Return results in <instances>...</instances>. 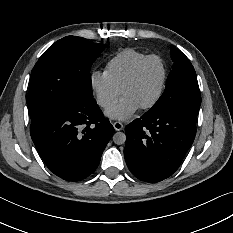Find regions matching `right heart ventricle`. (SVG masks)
Returning <instances> with one entry per match:
<instances>
[{
    "mask_svg": "<svg viewBox=\"0 0 233 233\" xmlns=\"http://www.w3.org/2000/svg\"><path fill=\"white\" fill-rule=\"evenodd\" d=\"M146 56V53L132 48L123 49L107 60L104 74L121 90L124 81Z\"/></svg>",
    "mask_w": 233,
    "mask_h": 233,
    "instance_id": "right-heart-ventricle-1",
    "label": "right heart ventricle"
}]
</instances>
